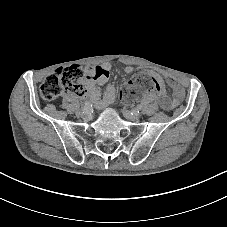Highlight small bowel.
<instances>
[{
    "mask_svg": "<svg viewBox=\"0 0 227 227\" xmlns=\"http://www.w3.org/2000/svg\"><path fill=\"white\" fill-rule=\"evenodd\" d=\"M110 69L111 65L109 63H103L85 69V88L82 94L87 95L91 102L90 104H93L98 109H102L113 103L116 97V89L113 85H108L105 88L103 95H101L99 89V85H103L107 82L110 75ZM123 71L125 73H132L135 71V68L133 66H127ZM153 75L162 87V91L158 95L160 106L164 110H171L178 106L184 96V90L177 80L171 75H166L168 84L172 90V97L170 98L164 91L161 77L157 74ZM154 98L155 94L153 93H148L146 95L147 100H152Z\"/></svg>",
    "mask_w": 227,
    "mask_h": 227,
    "instance_id": "1",
    "label": "small bowel"
}]
</instances>
